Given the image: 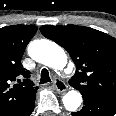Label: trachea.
<instances>
[{"instance_id":"obj_1","label":"trachea","mask_w":116,"mask_h":116,"mask_svg":"<svg viewBox=\"0 0 116 116\" xmlns=\"http://www.w3.org/2000/svg\"><path fill=\"white\" fill-rule=\"evenodd\" d=\"M51 82V78L49 76V72L47 69H42L41 71V78H40V84Z\"/></svg>"}]
</instances>
